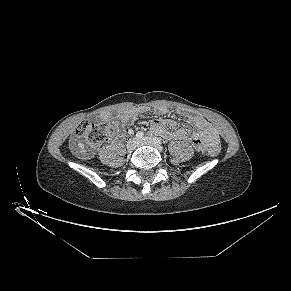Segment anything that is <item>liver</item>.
Listing matches in <instances>:
<instances>
[{"label": "liver", "mask_w": 291, "mask_h": 291, "mask_svg": "<svg viewBox=\"0 0 291 291\" xmlns=\"http://www.w3.org/2000/svg\"><path fill=\"white\" fill-rule=\"evenodd\" d=\"M78 145H79V148H80L81 152L85 153L86 151H85L84 145L81 142H79Z\"/></svg>", "instance_id": "obj_1"}]
</instances>
